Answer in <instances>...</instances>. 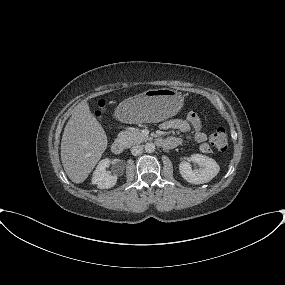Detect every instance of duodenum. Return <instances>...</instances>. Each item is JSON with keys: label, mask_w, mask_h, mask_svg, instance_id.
<instances>
[{"label": "duodenum", "mask_w": 285, "mask_h": 285, "mask_svg": "<svg viewBox=\"0 0 285 285\" xmlns=\"http://www.w3.org/2000/svg\"><path fill=\"white\" fill-rule=\"evenodd\" d=\"M159 144H162L163 142L158 140L157 141ZM125 149V143L123 141V139L118 138L116 139L113 144H112V151L115 154H121Z\"/></svg>", "instance_id": "duodenum-1"}]
</instances>
